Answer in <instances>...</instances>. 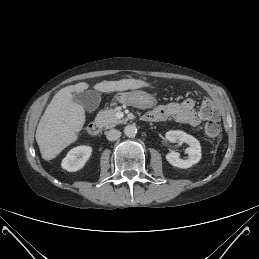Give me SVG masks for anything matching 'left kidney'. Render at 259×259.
<instances>
[{
  "label": "left kidney",
  "mask_w": 259,
  "mask_h": 259,
  "mask_svg": "<svg viewBox=\"0 0 259 259\" xmlns=\"http://www.w3.org/2000/svg\"><path fill=\"white\" fill-rule=\"evenodd\" d=\"M166 139L172 143L179 141L181 143L188 144L185 153L188 154V159H181L179 153L172 151L166 155V160L174 167L181 169L190 168L194 164L198 163L201 159V146L199 141L180 130H170L165 135Z\"/></svg>",
  "instance_id": "1"
}]
</instances>
